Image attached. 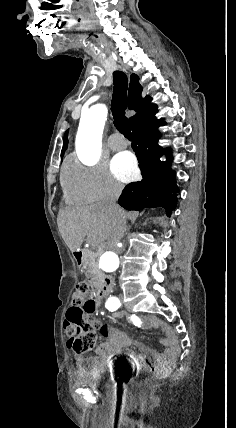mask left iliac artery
<instances>
[{
    "mask_svg": "<svg viewBox=\"0 0 236 428\" xmlns=\"http://www.w3.org/2000/svg\"><path fill=\"white\" fill-rule=\"evenodd\" d=\"M120 306H121L120 300L116 297H111V296L110 298H108L105 305V307L111 312L117 310Z\"/></svg>",
    "mask_w": 236,
    "mask_h": 428,
    "instance_id": "obj_1",
    "label": "left iliac artery"
}]
</instances>
